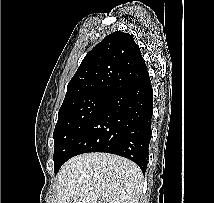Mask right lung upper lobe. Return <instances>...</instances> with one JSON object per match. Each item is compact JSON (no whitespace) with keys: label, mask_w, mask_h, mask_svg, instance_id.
<instances>
[{"label":"right lung upper lobe","mask_w":214,"mask_h":203,"mask_svg":"<svg viewBox=\"0 0 214 203\" xmlns=\"http://www.w3.org/2000/svg\"><path fill=\"white\" fill-rule=\"evenodd\" d=\"M148 76L147 66L133 36L116 31L84 57L68 83L63 104L92 93L113 95Z\"/></svg>","instance_id":"obj_1"}]
</instances>
